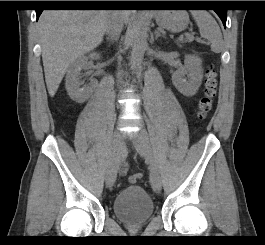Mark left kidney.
<instances>
[{"label": "left kidney", "mask_w": 265, "mask_h": 245, "mask_svg": "<svg viewBox=\"0 0 265 245\" xmlns=\"http://www.w3.org/2000/svg\"><path fill=\"white\" fill-rule=\"evenodd\" d=\"M187 75V78L185 77ZM203 79L202 60L195 55L185 57L184 66L172 75V82L176 89L184 96H194Z\"/></svg>", "instance_id": "obj_1"}]
</instances>
